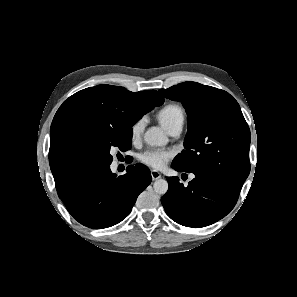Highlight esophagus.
Here are the masks:
<instances>
[{
  "instance_id": "obj_1",
  "label": "esophagus",
  "mask_w": 297,
  "mask_h": 297,
  "mask_svg": "<svg viewBox=\"0 0 297 297\" xmlns=\"http://www.w3.org/2000/svg\"><path fill=\"white\" fill-rule=\"evenodd\" d=\"M151 176L153 180H158L161 178V174L157 170H151Z\"/></svg>"
}]
</instances>
